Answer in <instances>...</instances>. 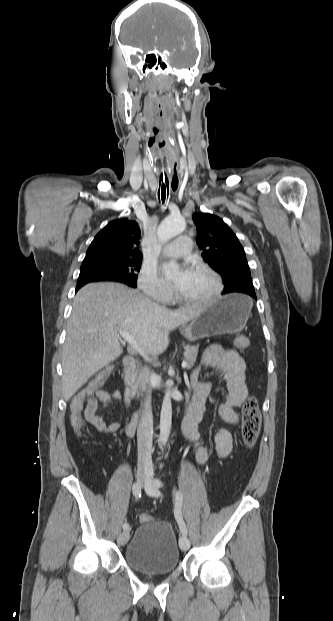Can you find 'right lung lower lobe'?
Returning <instances> with one entry per match:
<instances>
[{
	"label": "right lung lower lobe",
	"instance_id": "obj_1",
	"mask_svg": "<svg viewBox=\"0 0 333 621\" xmlns=\"http://www.w3.org/2000/svg\"><path fill=\"white\" fill-rule=\"evenodd\" d=\"M86 283H89V282H86ZM86 283H77V286H76V291H78V290H79V289H80L83 285H85Z\"/></svg>",
	"mask_w": 333,
	"mask_h": 621
}]
</instances>
